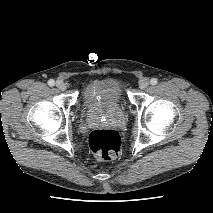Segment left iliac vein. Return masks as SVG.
I'll return each mask as SVG.
<instances>
[{
	"label": "left iliac vein",
	"mask_w": 213,
	"mask_h": 213,
	"mask_svg": "<svg viewBox=\"0 0 213 213\" xmlns=\"http://www.w3.org/2000/svg\"><path fill=\"white\" fill-rule=\"evenodd\" d=\"M148 85H149V80L147 78H144L139 82L140 89H145Z\"/></svg>",
	"instance_id": "obj_1"
}]
</instances>
